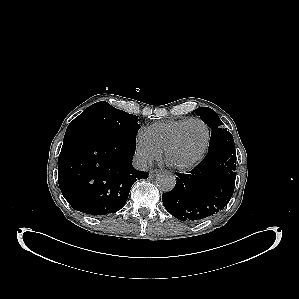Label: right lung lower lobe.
Masks as SVG:
<instances>
[{
  "label": "right lung lower lobe",
  "mask_w": 299,
  "mask_h": 299,
  "mask_svg": "<svg viewBox=\"0 0 299 299\" xmlns=\"http://www.w3.org/2000/svg\"><path fill=\"white\" fill-rule=\"evenodd\" d=\"M135 141L136 136L114 133L64 136L58 181L73 209L102 216L124 206L133 183L148 177L132 166Z\"/></svg>",
  "instance_id": "right-lung-lower-lobe-1"
}]
</instances>
